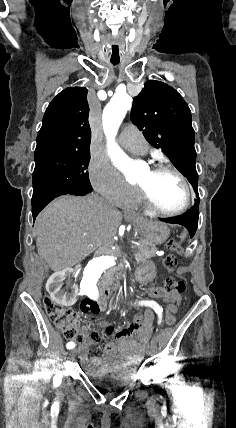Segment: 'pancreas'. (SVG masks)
Wrapping results in <instances>:
<instances>
[{
	"label": "pancreas",
	"mask_w": 236,
	"mask_h": 428,
	"mask_svg": "<svg viewBox=\"0 0 236 428\" xmlns=\"http://www.w3.org/2000/svg\"><path fill=\"white\" fill-rule=\"evenodd\" d=\"M132 248H137L135 258L137 262H141V264H144V262L150 260V258H154L156 252H158L156 246H150V248H147V246H143V248H140V246H132ZM113 256H119V252H113ZM107 276L108 274H104V278H107Z\"/></svg>",
	"instance_id": "pancreas-1"
}]
</instances>
